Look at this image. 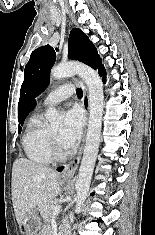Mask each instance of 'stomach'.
I'll return each mask as SVG.
<instances>
[{
    "label": "stomach",
    "mask_w": 155,
    "mask_h": 235,
    "mask_svg": "<svg viewBox=\"0 0 155 235\" xmlns=\"http://www.w3.org/2000/svg\"><path fill=\"white\" fill-rule=\"evenodd\" d=\"M42 207L32 209L21 224L22 235H36L42 228Z\"/></svg>",
    "instance_id": "1"
}]
</instances>
